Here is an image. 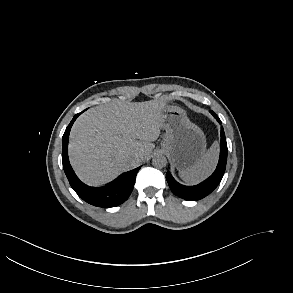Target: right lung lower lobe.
Segmentation results:
<instances>
[{"instance_id": "98d812e1", "label": "right lung lower lobe", "mask_w": 293, "mask_h": 293, "mask_svg": "<svg viewBox=\"0 0 293 293\" xmlns=\"http://www.w3.org/2000/svg\"><path fill=\"white\" fill-rule=\"evenodd\" d=\"M79 114L75 115L62 138L63 169L73 190L87 203L97 207H114L123 203L131 194L140 167L120 175L109 185L91 187L82 183L74 173L68 159V139L70 129Z\"/></svg>"}]
</instances>
